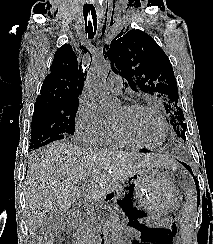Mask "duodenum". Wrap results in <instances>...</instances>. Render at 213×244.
I'll return each mask as SVG.
<instances>
[{
    "instance_id": "1",
    "label": "duodenum",
    "mask_w": 213,
    "mask_h": 244,
    "mask_svg": "<svg viewBox=\"0 0 213 244\" xmlns=\"http://www.w3.org/2000/svg\"><path fill=\"white\" fill-rule=\"evenodd\" d=\"M71 216H77V213H72ZM94 244H107V238L103 233H97L94 238Z\"/></svg>"
}]
</instances>
